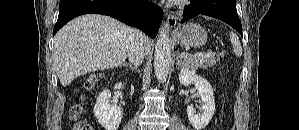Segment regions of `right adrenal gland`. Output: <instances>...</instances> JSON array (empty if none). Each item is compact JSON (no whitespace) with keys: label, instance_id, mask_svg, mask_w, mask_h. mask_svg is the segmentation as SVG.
Here are the masks:
<instances>
[{"label":"right adrenal gland","instance_id":"obj_1","mask_svg":"<svg viewBox=\"0 0 299 130\" xmlns=\"http://www.w3.org/2000/svg\"><path fill=\"white\" fill-rule=\"evenodd\" d=\"M123 66L129 67L132 71L138 70V66L132 65L131 63H125V64H123Z\"/></svg>","mask_w":299,"mask_h":130}]
</instances>
